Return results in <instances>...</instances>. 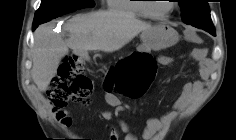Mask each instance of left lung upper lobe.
Returning a JSON list of instances; mask_svg holds the SVG:
<instances>
[{
    "instance_id": "obj_1",
    "label": "left lung upper lobe",
    "mask_w": 236,
    "mask_h": 140,
    "mask_svg": "<svg viewBox=\"0 0 236 140\" xmlns=\"http://www.w3.org/2000/svg\"><path fill=\"white\" fill-rule=\"evenodd\" d=\"M182 21L215 36L208 0H178Z\"/></svg>"
}]
</instances>
